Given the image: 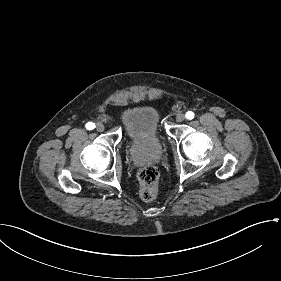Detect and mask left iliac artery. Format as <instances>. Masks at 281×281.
Here are the masks:
<instances>
[{
	"instance_id": "left-iliac-artery-1",
	"label": "left iliac artery",
	"mask_w": 281,
	"mask_h": 281,
	"mask_svg": "<svg viewBox=\"0 0 281 281\" xmlns=\"http://www.w3.org/2000/svg\"><path fill=\"white\" fill-rule=\"evenodd\" d=\"M186 118L189 119V120L193 119L194 118V113L192 111H188L186 113Z\"/></svg>"
}]
</instances>
